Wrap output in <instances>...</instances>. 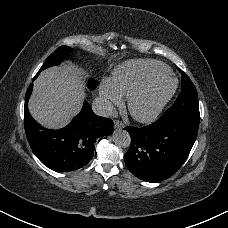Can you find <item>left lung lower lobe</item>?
<instances>
[{"instance_id":"1","label":"left lung lower lobe","mask_w":228,"mask_h":228,"mask_svg":"<svg viewBox=\"0 0 228 228\" xmlns=\"http://www.w3.org/2000/svg\"><path fill=\"white\" fill-rule=\"evenodd\" d=\"M199 124L162 122L145 127L128 126L131 145L124 161L132 174L146 182H160L175 174L197 138Z\"/></svg>"}]
</instances>
